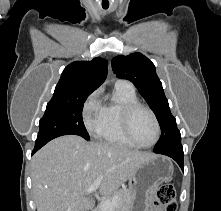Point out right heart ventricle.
Instances as JSON below:
<instances>
[{
    "label": "right heart ventricle",
    "instance_id": "1",
    "mask_svg": "<svg viewBox=\"0 0 221 211\" xmlns=\"http://www.w3.org/2000/svg\"><path fill=\"white\" fill-rule=\"evenodd\" d=\"M133 102H138L134 88L115 85L112 99L103 105L102 125L97 132L98 138L111 144L134 147L125 137L121 124L122 108Z\"/></svg>",
    "mask_w": 221,
    "mask_h": 211
}]
</instances>
